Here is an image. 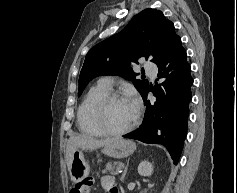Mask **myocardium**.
I'll list each match as a JSON object with an SVG mask.
<instances>
[{"label": "myocardium", "mask_w": 237, "mask_h": 193, "mask_svg": "<svg viewBox=\"0 0 237 193\" xmlns=\"http://www.w3.org/2000/svg\"><path fill=\"white\" fill-rule=\"evenodd\" d=\"M117 100H127V97L118 92L108 91L107 93L102 95L93 106V109H92L93 124L103 135L115 136V137L125 135L131 130H133L139 122L141 110H140V106L137 104L135 117L133 121L127 127L121 130H112L106 127L102 121L104 110L110 102L117 101Z\"/></svg>", "instance_id": "1"}]
</instances>
